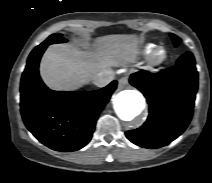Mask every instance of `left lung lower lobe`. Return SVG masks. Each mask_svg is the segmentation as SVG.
Listing matches in <instances>:
<instances>
[{
  "mask_svg": "<svg viewBox=\"0 0 212 183\" xmlns=\"http://www.w3.org/2000/svg\"><path fill=\"white\" fill-rule=\"evenodd\" d=\"M130 83L147 98L149 116L126 137L144 148L166 146L179 137L189 125L198 89V72L192 53L182 55L177 63L156 74L137 72Z\"/></svg>",
  "mask_w": 212,
  "mask_h": 183,
  "instance_id": "left-lung-lower-lobe-1",
  "label": "left lung lower lobe"
}]
</instances>
